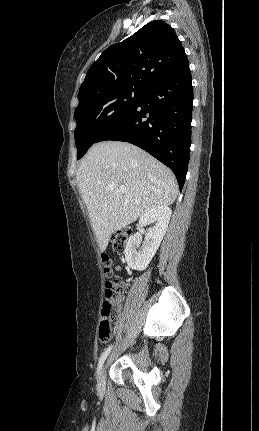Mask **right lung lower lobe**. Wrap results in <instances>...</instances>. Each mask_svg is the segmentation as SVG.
<instances>
[{"mask_svg": "<svg viewBox=\"0 0 259 431\" xmlns=\"http://www.w3.org/2000/svg\"><path fill=\"white\" fill-rule=\"evenodd\" d=\"M192 107L188 65L147 88L139 102L97 142L125 141L146 150L174 172L182 190L190 154Z\"/></svg>", "mask_w": 259, "mask_h": 431, "instance_id": "obj_1", "label": "right lung lower lobe"}]
</instances>
